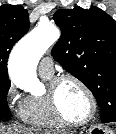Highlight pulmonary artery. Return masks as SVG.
Wrapping results in <instances>:
<instances>
[{
	"mask_svg": "<svg viewBox=\"0 0 116 134\" xmlns=\"http://www.w3.org/2000/svg\"><path fill=\"white\" fill-rule=\"evenodd\" d=\"M39 73L42 75H53L54 73V61L51 57H43L38 67Z\"/></svg>",
	"mask_w": 116,
	"mask_h": 134,
	"instance_id": "pulmonary-artery-1",
	"label": "pulmonary artery"
}]
</instances>
